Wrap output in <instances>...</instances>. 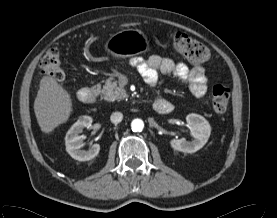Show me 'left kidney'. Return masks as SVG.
<instances>
[{
	"label": "left kidney",
	"mask_w": 277,
	"mask_h": 218,
	"mask_svg": "<svg viewBox=\"0 0 277 218\" xmlns=\"http://www.w3.org/2000/svg\"><path fill=\"white\" fill-rule=\"evenodd\" d=\"M186 121L191 126V136L194 139L191 141H187L184 138L173 139L170 141V144L174 150L194 153L207 143L211 134V126L203 116L195 113L188 114Z\"/></svg>",
	"instance_id": "5707ae66"
}]
</instances>
